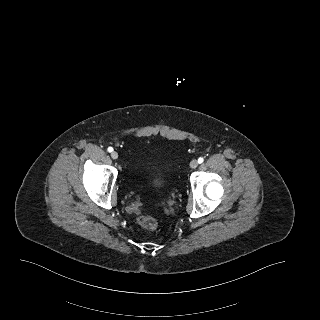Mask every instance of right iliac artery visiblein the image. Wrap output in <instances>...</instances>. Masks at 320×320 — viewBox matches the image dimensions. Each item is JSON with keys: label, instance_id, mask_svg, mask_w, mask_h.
Here are the masks:
<instances>
[{"label": "right iliac artery", "instance_id": "82829eb1", "mask_svg": "<svg viewBox=\"0 0 320 320\" xmlns=\"http://www.w3.org/2000/svg\"><path fill=\"white\" fill-rule=\"evenodd\" d=\"M108 151H109V152H112V151H113V148H112V147H109V148H108Z\"/></svg>", "mask_w": 320, "mask_h": 320}]
</instances>
